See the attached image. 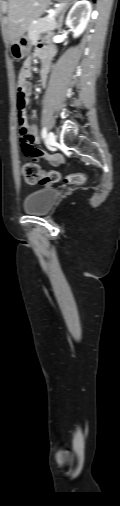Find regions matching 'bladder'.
<instances>
[{"label":"bladder","instance_id":"31cf9c89","mask_svg":"<svg viewBox=\"0 0 120 506\" xmlns=\"http://www.w3.org/2000/svg\"><path fill=\"white\" fill-rule=\"evenodd\" d=\"M58 195V191L51 187L33 191L25 197L23 201V210L28 214H47L58 198Z\"/></svg>","mask_w":120,"mask_h":506}]
</instances>
